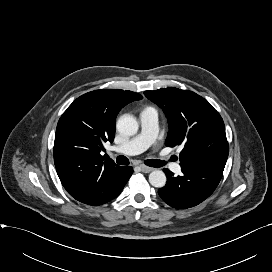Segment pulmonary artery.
Returning a JSON list of instances; mask_svg holds the SVG:
<instances>
[{"label": "pulmonary artery", "instance_id": "e3ab8cb5", "mask_svg": "<svg viewBox=\"0 0 272 272\" xmlns=\"http://www.w3.org/2000/svg\"><path fill=\"white\" fill-rule=\"evenodd\" d=\"M141 130L139 134L120 146L113 148V151L124 155H136L149 148L156 140L158 134V113L154 108L148 107L139 115ZM170 168L175 173L181 171L178 163H172Z\"/></svg>", "mask_w": 272, "mask_h": 272}]
</instances>
